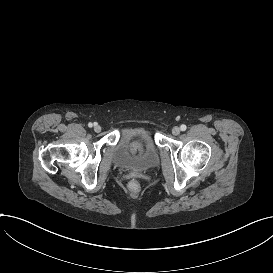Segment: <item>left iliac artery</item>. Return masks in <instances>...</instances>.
I'll list each match as a JSON object with an SVG mask.
<instances>
[{"label": "left iliac artery", "mask_w": 273, "mask_h": 273, "mask_svg": "<svg viewBox=\"0 0 273 273\" xmlns=\"http://www.w3.org/2000/svg\"><path fill=\"white\" fill-rule=\"evenodd\" d=\"M186 125H184V124H182L181 126H180V129H181V131H185L186 130Z\"/></svg>", "instance_id": "44dca946"}]
</instances>
